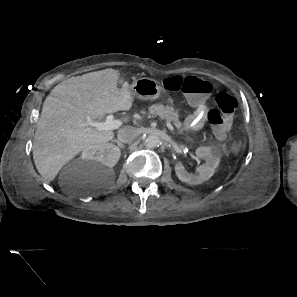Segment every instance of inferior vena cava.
Segmentation results:
<instances>
[{"label":"inferior vena cava","mask_w":297,"mask_h":297,"mask_svg":"<svg viewBox=\"0 0 297 297\" xmlns=\"http://www.w3.org/2000/svg\"><path fill=\"white\" fill-rule=\"evenodd\" d=\"M138 136V131L134 127H124L117 133V138L122 143H130Z\"/></svg>","instance_id":"inferior-vena-cava-1"}]
</instances>
